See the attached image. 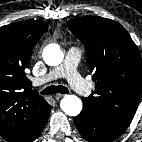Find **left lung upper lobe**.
<instances>
[{
    "label": "left lung upper lobe",
    "mask_w": 142,
    "mask_h": 142,
    "mask_svg": "<svg viewBox=\"0 0 142 142\" xmlns=\"http://www.w3.org/2000/svg\"><path fill=\"white\" fill-rule=\"evenodd\" d=\"M68 27L86 48L95 91L84 98L120 125L129 126L142 93V61L125 28L99 16L70 20Z\"/></svg>",
    "instance_id": "5c2ea615"
}]
</instances>
